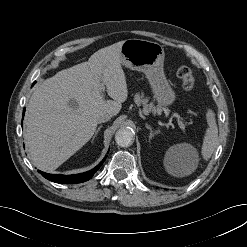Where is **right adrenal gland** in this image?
<instances>
[{"label":"right adrenal gland","instance_id":"2a0ac1e0","mask_svg":"<svg viewBox=\"0 0 247 247\" xmlns=\"http://www.w3.org/2000/svg\"><path fill=\"white\" fill-rule=\"evenodd\" d=\"M101 128H102V125L97 128V130H96V132H95V134L93 136L92 141H94V139L97 137V135H98L99 131L101 130Z\"/></svg>","mask_w":247,"mask_h":247}]
</instances>
